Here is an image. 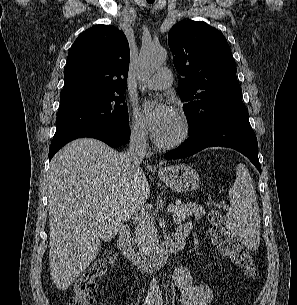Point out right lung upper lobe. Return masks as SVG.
I'll return each mask as SVG.
<instances>
[{
  "label": "right lung upper lobe",
  "instance_id": "cb5924a9",
  "mask_svg": "<svg viewBox=\"0 0 297 305\" xmlns=\"http://www.w3.org/2000/svg\"><path fill=\"white\" fill-rule=\"evenodd\" d=\"M129 60V44L122 31L111 25L87 29L69 51L60 100L126 90Z\"/></svg>",
  "mask_w": 297,
  "mask_h": 305
}]
</instances>
